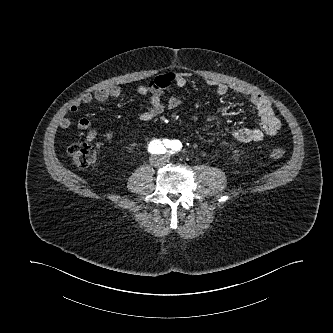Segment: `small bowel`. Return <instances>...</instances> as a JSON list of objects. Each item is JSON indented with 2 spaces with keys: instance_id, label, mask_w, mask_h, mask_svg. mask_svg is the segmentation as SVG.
I'll list each match as a JSON object with an SVG mask.
<instances>
[{
  "instance_id": "1",
  "label": "small bowel",
  "mask_w": 333,
  "mask_h": 333,
  "mask_svg": "<svg viewBox=\"0 0 333 333\" xmlns=\"http://www.w3.org/2000/svg\"><path fill=\"white\" fill-rule=\"evenodd\" d=\"M187 84V77L181 72H167L156 76L147 85H139L136 89L140 96L148 97L149 104L146 109L140 114L139 119L147 122L157 117L164 112L165 109H175L179 106L180 101L175 96H170L164 101V91L171 86L183 88ZM207 84L216 90L219 96H224L230 89L236 93L248 98L250 103L255 108L259 117V126L255 128L240 127L232 132L235 140L248 143L259 142L265 136L276 135L281 129V122L275 115L269 101L260 93L249 90L243 86L230 87L229 85L217 82L215 80H207ZM123 94V89L118 86L101 88L93 94H84L77 99L70 107V113H77L81 107L92 103L94 100L105 102L109 99L118 98ZM218 116H210V119H217ZM70 120L63 116L59 120V126L67 129L70 126ZM77 127L81 130H87L91 127V121L88 118H80L77 122ZM95 131L90 130L87 138H93Z\"/></svg>"
}]
</instances>
